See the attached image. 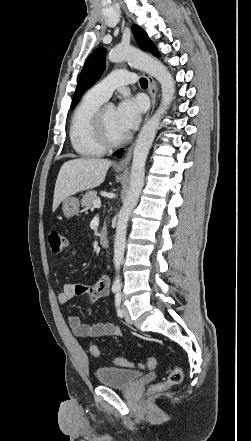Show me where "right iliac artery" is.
Wrapping results in <instances>:
<instances>
[{
    "label": "right iliac artery",
    "instance_id": "obj_1",
    "mask_svg": "<svg viewBox=\"0 0 251 441\" xmlns=\"http://www.w3.org/2000/svg\"><path fill=\"white\" fill-rule=\"evenodd\" d=\"M117 291H118V289H114V290H113V292H117Z\"/></svg>",
    "mask_w": 251,
    "mask_h": 441
}]
</instances>
